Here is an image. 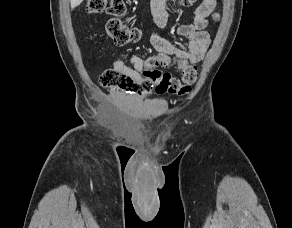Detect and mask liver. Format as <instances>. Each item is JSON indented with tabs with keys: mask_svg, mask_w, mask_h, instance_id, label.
I'll return each mask as SVG.
<instances>
[{
	"mask_svg": "<svg viewBox=\"0 0 292 228\" xmlns=\"http://www.w3.org/2000/svg\"><path fill=\"white\" fill-rule=\"evenodd\" d=\"M83 0H70V3H71V9H74L75 7H77L78 5H80V3L82 2Z\"/></svg>",
	"mask_w": 292,
	"mask_h": 228,
	"instance_id": "liver-1",
	"label": "liver"
}]
</instances>
